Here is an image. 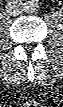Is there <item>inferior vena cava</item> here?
I'll list each match as a JSON object with an SVG mask.
<instances>
[{
	"label": "inferior vena cava",
	"instance_id": "obj_1",
	"mask_svg": "<svg viewBox=\"0 0 63 107\" xmlns=\"http://www.w3.org/2000/svg\"><path fill=\"white\" fill-rule=\"evenodd\" d=\"M6 11L12 16H18L23 12V5L19 1H9L6 4Z\"/></svg>",
	"mask_w": 63,
	"mask_h": 107
}]
</instances>
